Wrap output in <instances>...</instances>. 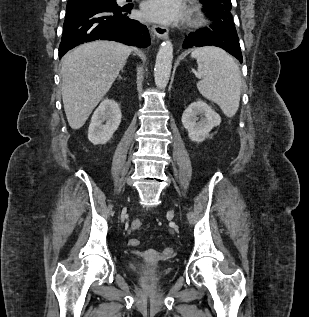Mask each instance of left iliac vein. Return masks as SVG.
I'll list each match as a JSON object with an SVG mask.
<instances>
[{
  "label": "left iliac vein",
  "mask_w": 309,
  "mask_h": 317,
  "mask_svg": "<svg viewBox=\"0 0 309 317\" xmlns=\"http://www.w3.org/2000/svg\"><path fill=\"white\" fill-rule=\"evenodd\" d=\"M169 213L172 214L173 212H172V211H169Z\"/></svg>",
  "instance_id": "4c4485c4"
}]
</instances>
